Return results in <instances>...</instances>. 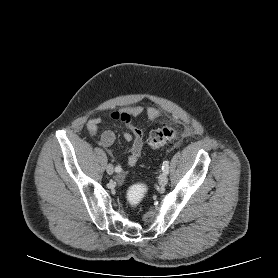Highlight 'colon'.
<instances>
[{"instance_id": "1", "label": "colon", "mask_w": 278, "mask_h": 278, "mask_svg": "<svg viewBox=\"0 0 278 278\" xmlns=\"http://www.w3.org/2000/svg\"><path fill=\"white\" fill-rule=\"evenodd\" d=\"M177 137V130L171 126H164L151 131L147 144L153 149L160 148L170 143ZM148 191L146 184L138 183L129 187L127 191V201L131 208H136L145 198Z\"/></svg>"}]
</instances>
